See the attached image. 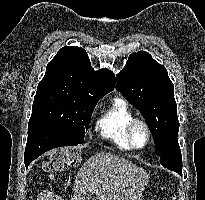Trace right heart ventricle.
<instances>
[{
  "instance_id": "e07e8e85",
  "label": "right heart ventricle",
  "mask_w": 205,
  "mask_h": 200,
  "mask_svg": "<svg viewBox=\"0 0 205 200\" xmlns=\"http://www.w3.org/2000/svg\"><path fill=\"white\" fill-rule=\"evenodd\" d=\"M135 116L122 97H114L102 111L97 121V129L104 139L109 140L122 150H131L126 137L128 124Z\"/></svg>"
}]
</instances>
